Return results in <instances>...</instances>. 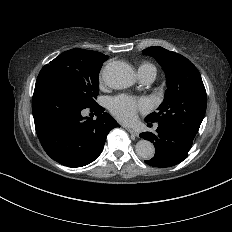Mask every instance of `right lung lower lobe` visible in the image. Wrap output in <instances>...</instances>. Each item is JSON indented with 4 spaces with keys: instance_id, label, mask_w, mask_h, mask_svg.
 I'll list each match as a JSON object with an SVG mask.
<instances>
[{
    "instance_id": "98d812e1",
    "label": "right lung lower lobe",
    "mask_w": 232,
    "mask_h": 232,
    "mask_svg": "<svg viewBox=\"0 0 232 232\" xmlns=\"http://www.w3.org/2000/svg\"><path fill=\"white\" fill-rule=\"evenodd\" d=\"M85 109L97 118L83 117ZM32 111L42 147L53 160L68 167L94 161L102 152L108 133L120 127L100 105L85 107L49 81H36Z\"/></svg>"
}]
</instances>
